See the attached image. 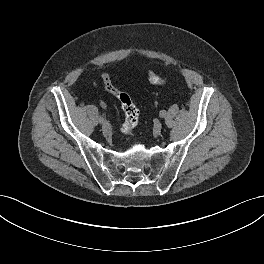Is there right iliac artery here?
I'll return each mask as SVG.
<instances>
[{
  "label": "right iliac artery",
  "instance_id": "right-iliac-artery-1",
  "mask_svg": "<svg viewBox=\"0 0 264 264\" xmlns=\"http://www.w3.org/2000/svg\"><path fill=\"white\" fill-rule=\"evenodd\" d=\"M104 121V118L102 116L99 117V122L102 123Z\"/></svg>",
  "mask_w": 264,
  "mask_h": 264
}]
</instances>
